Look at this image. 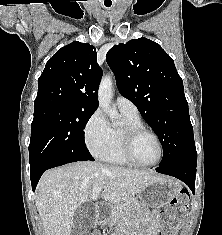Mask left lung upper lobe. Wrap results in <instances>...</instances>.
Masks as SVG:
<instances>
[{
	"label": "left lung upper lobe",
	"mask_w": 222,
	"mask_h": 235,
	"mask_svg": "<svg viewBox=\"0 0 222 235\" xmlns=\"http://www.w3.org/2000/svg\"><path fill=\"white\" fill-rule=\"evenodd\" d=\"M120 94L133 102L163 147L159 165L196 160L182 78L173 59L147 38L113 46L106 55Z\"/></svg>",
	"instance_id": "1"
}]
</instances>
